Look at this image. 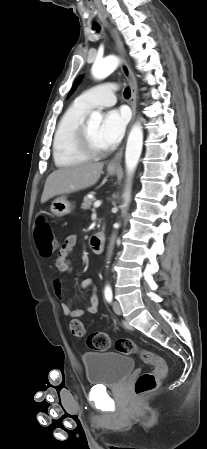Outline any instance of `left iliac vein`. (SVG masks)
Returning <instances> with one entry per match:
<instances>
[{"label": "left iliac vein", "instance_id": "4c4485c4", "mask_svg": "<svg viewBox=\"0 0 207 449\" xmlns=\"http://www.w3.org/2000/svg\"><path fill=\"white\" fill-rule=\"evenodd\" d=\"M113 310L117 315H120L122 313L121 306H120L119 302L115 301L113 303Z\"/></svg>", "mask_w": 207, "mask_h": 449}]
</instances>
